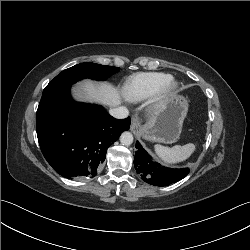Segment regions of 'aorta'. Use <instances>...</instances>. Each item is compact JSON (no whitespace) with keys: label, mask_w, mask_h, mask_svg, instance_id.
Wrapping results in <instances>:
<instances>
[{"label":"aorta","mask_w":250,"mask_h":250,"mask_svg":"<svg viewBox=\"0 0 250 250\" xmlns=\"http://www.w3.org/2000/svg\"><path fill=\"white\" fill-rule=\"evenodd\" d=\"M120 142L125 146L131 145L133 143V135L128 131L123 132L120 136Z\"/></svg>","instance_id":"1"}]
</instances>
